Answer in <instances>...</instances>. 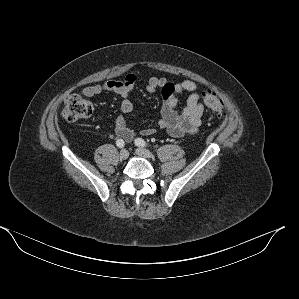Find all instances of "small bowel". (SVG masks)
<instances>
[{"instance_id": "obj_1", "label": "small bowel", "mask_w": 299, "mask_h": 299, "mask_svg": "<svg viewBox=\"0 0 299 299\" xmlns=\"http://www.w3.org/2000/svg\"><path fill=\"white\" fill-rule=\"evenodd\" d=\"M136 75L130 73L123 80H110L102 84L89 86L83 89L85 97H94L102 93L111 92L121 98V111L115 121V133L119 139L129 142L133 139L135 132L128 125L126 115L133 110L130 94L136 84ZM161 90L162 118L157 123V128L164 130L172 137H182L196 133L204 123V104L197 92L198 85L193 80L173 82L164 77H150L146 83V90L150 93ZM183 92H189L186 105L183 109L178 108L177 96ZM155 127H145L141 130L143 135H152Z\"/></svg>"}]
</instances>
